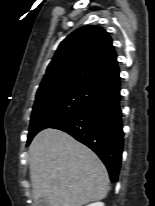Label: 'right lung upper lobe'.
Returning a JSON list of instances; mask_svg holds the SVG:
<instances>
[{
  "instance_id": "1",
  "label": "right lung upper lobe",
  "mask_w": 155,
  "mask_h": 206,
  "mask_svg": "<svg viewBox=\"0 0 155 206\" xmlns=\"http://www.w3.org/2000/svg\"><path fill=\"white\" fill-rule=\"evenodd\" d=\"M76 85L103 93L120 85L112 39L99 26L81 27L61 42L37 92Z\"/></svg>"
}]
</instances>
